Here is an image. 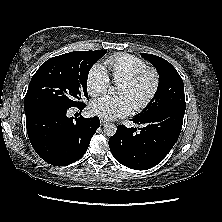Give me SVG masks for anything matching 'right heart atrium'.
<instances>
[{
    "mask_svg": "<svg viewBox=\"0 0 222 222\" xmlns=\"http://www.w3.org/2000/svg\"><path fill=\"white\" fill-rule=\"evenodd\" d=\"M110 86V79L103 67L93 66L86 79V88L91 96H97L107 91Z\"/></svg>",
    "mask_w": 222,
    "mask_h": 222,
    "instance_id": "obj_1",
    "label": "right heart atrium"
}]
</instances>
